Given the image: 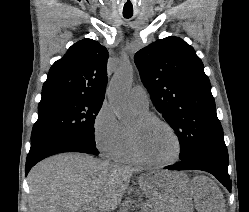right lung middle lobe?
Wrapping results in <instances>:
<instances>
[{"label": "right lung middle lobe", "instance_id": "obj_1", "mask_svg": "<svg viewBox=\"0 0 249 212\" xmlns=\"http://www.w3.org/2000/svg\"><path fill=\"white\" fill-rule=\"evenodd\" d=\"M102 102L83 95L56 94L42 97L31 141L47 135L70 134L96 147L94 121Z\"/></svg>", "mask_w": 249, "mask_h": 212}]
</instances>
